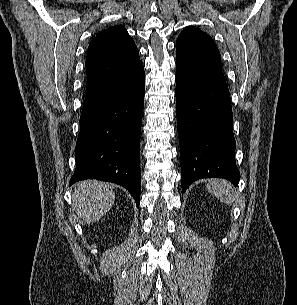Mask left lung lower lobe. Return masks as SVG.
Returning <instances> with one entry per match:
<instances>
[{
  "mask_svg": "<svg viewBox=\"0 0 297 305\" xmlns=\"http://www.w3.org/2000/svg\"><path fill=\"white\" fill-rule=\"evenodd\" d=\"M176 115L182 190L202 178L237 185L233 113L223 72L190 73L176 63Z\"/></svg>",
  "mask_w": 297,
  "mask_h": 305,
  "instance_id": "1",
  "label": "left lung lower lobe"
}]
</instances>
